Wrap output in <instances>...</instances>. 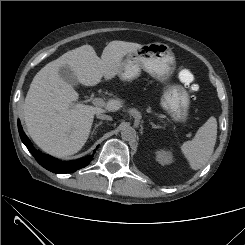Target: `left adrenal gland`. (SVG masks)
Returning a JSON list of instances; mask_svg holds the SVG:
<instances>
[{"label": "left adrenal gland", "instance_id": "obj_1", "mask_svg": "<svg viewBox=\"0 0 245 245\" xmlns=\"http://www.w3.org/2000/svg\"><path fill=\"white\" fill-rule=\"evenodd\" d=\"M150 124L152 125V128H154V129H160V128H162V126L156 125V124L153 123V122H150Z\"/></svg>", "mask_w": 245, "mask_h": 245}]
</instances>
